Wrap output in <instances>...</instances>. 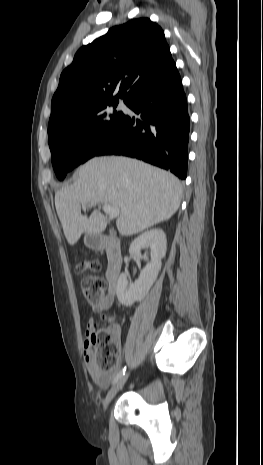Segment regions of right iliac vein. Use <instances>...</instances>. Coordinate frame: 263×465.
Here are the masks:
<instances>
[{
	"label": "right iliac vein",
	"mask_w": 263,
	"mask_h": 465,
	"mask_svg": "<svg viewBox=\"0 0 263 465\" xmlns=\"http://www.w3.org/2000/svg\"><path fill=\"white\" fill-rule=\"evenodd\" d=\"M129 374L123 375L119 381L116 383L115 386H113L109 392L107 393L104 402H103V409L106 410L108 407L109 403L112 401V399L115 397V395L119 392V390L124 386L125 382L128 379Z\"/></svg>",
	"instance_id": "obj_1"
}]
</instances>
